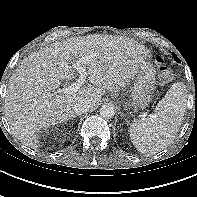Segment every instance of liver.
<instances>
[{
    "instance_id": "obj_1",
    "label": "liver",
    "mask_w": 197,
    "mask_h": 197,
    "mask_svg": "<svg viewBox=\"0 0 197 197\" xmlns=\"http://www.w3.org/2000/svg\"><path fill=\"white\" fill-rule=\"evenodd\" d=\"M73 57H90L84 65L93 85L88 84L72 95L58 94L60 80L74 78L70 65ZM147 57L151 54L144 45L107 34L55 42L29 55L12 74L7 87L5 117L13 134L22 144L37 150L43 127L71 119L73 105L81 98L95 107L105 91L120 92Z\"/></svg>"
}]
</instances>
